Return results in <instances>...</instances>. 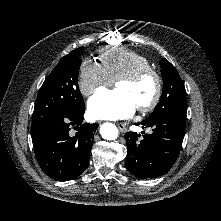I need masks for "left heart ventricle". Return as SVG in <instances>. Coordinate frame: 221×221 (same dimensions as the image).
Instances as JSON below:
<instances>
[{
	"mask_svg": "<svg viewBox=\"0 0 221 221\" xmlns=\"http://www.w3.org/2000/svg\"><path fill=\"white\" fill-rule=\"evenodd\" d=\"M117 89L126 92L138 108L147 104L153 98L156 83L153 77H146L136 83L119 82Z\"/></svg>",
	"mask_w": 221,
	"mask_h": 221,
	"instance_id": "1",
	"label": "left heart ventricle"
}]
</instances>
